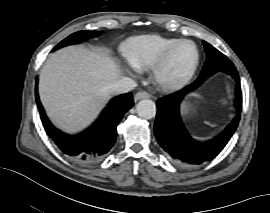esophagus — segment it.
<instances>
[{
  "mask_svg": "<svg viewBox=\"0 0 270 213\" xmlns=\"http://www.w3.org/2000/svg\"><path fill=\"white\" fill-rule=\"evenodd\" d=\"M150 94L145 92V91H138L135 95H134V101L137 102L141 99H145V98H149Z\"/></svg>",
  "mask_w": 270,
  "mask_h": 213,
  "instance_id": "1",
  "label": "esophagus"
}]
</instances>
